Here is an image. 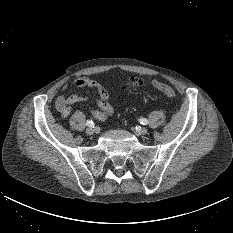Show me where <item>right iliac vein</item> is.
<instances>
[{"label": "right iliac vein", "instance_id": "obj_1", "mask_svg": "<svg viewBox=\"0 0 233 233\" xmlns=\"http://www.w3.org/2000/svg\"><path fill=\"white\" fill-rule=\"evenodd\" d=\"M95 132H96V129L93 128V127H89V128L86 129V133L88 135H93Z\"/></svg>", "mask_w": 233, "mask_h": 233}]
</instances>
